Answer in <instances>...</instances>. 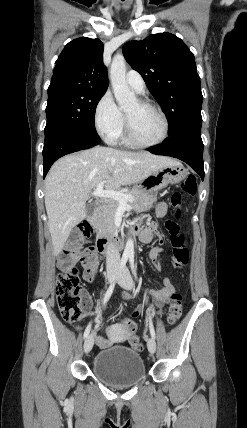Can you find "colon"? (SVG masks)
I'll use <instances>...</instances> for the list:
<instances>
[{"label":"colon","instance_id":"obj_1","mask_svg":"<svg viewBox=\"0 0 247 428\" xmlns=\"http://www.w3.org/2000/svg\"><path fill=\"white\" fill-rule=\"evenodd\" d=\"M197 192V182L193 176H188L180 185V191L174 193L171 198V203L175 208L174 215L177 217L180 214L179 206L182 201L183 194L194 196ZM167 228L170 232V243L173 247V266L178 270H183L188 262L189 253L187 249V237L180 232V226L175 222H168ZM76 233L81 239H88L91 234V228L87 223L80 224ZM77 238H74L72 247L63 249L59 254L60 271L56 281V295L60 313L66 322L73 323L78 321L83 314V298L85 291L79 282L78 269L74 265L76 257ZM84 266L94 273L97 266V261L91 256L84 258ZM157 308L155 309L156 316H162L163 310L166 309L164 299L157 300ZM135 309H125L124 315L129 316L126 319H121L124 322V330L130 333V341L128 345L131 348L142 350V345L138 342L140 336L136 333L139 330L138 325L134 324L132 318L140 317L144 313L143 305L137 302L134 305ZM182 315V295L175 292L171 296L167 324L172 326L178 322Z\"/></svg>","mask_w":247,"mask_h":428}]
</instances>
